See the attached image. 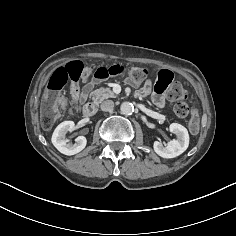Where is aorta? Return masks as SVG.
Listing matches in <instances>:
<instances>
[{
  "instance_id": "1",
  "label": "aorta",
  "mask_w": 236,
  "mask_h": 236,
  "mask_svg": "<svg viewBox=\"0 0 236 236\" xmlns=\"http://www.w3.org/2000/svg\"><path fill=\"white\" fill-rule=\"evenodd\" d=\"M121 113L124 115H130L134 111V106L129 102H123L120 106Z\"/></svg>"
}]
</instances>
